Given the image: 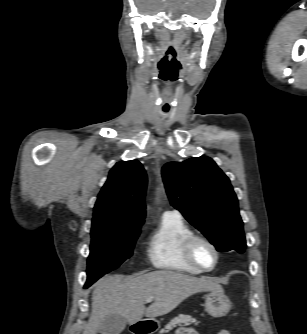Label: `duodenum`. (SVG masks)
Returning a JSON list of instances; mask_svg holds the SVG:
<instances>
[{"mask_svg":"<svg viewBox=\"0 0 307 334\" xmlns=\"http://www.w3.org/2000/svg\"><path fill=\"white\" fill-rule=\"evenodd\" d=\"M132 334H151V330L140 327L133 329Z\"/></svg>","mask_w":307,"mask_h":334,"instance_id":"1","label":"duodenum"}]
</instances>
